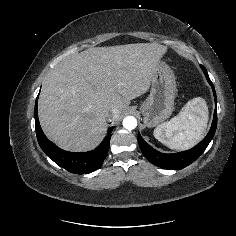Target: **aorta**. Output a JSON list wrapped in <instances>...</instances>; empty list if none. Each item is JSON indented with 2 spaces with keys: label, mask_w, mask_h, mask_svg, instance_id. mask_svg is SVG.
<instances>
[{
  "label": "aorta",
  "mask_w": 236,
  "mask_h": 236,
  "mask_svg": "<svg viewBox=\"0 0 236 236\" xmlns=\"http://www.w3.org/2000/svg\"><path fill=\"white\" fill-rule=\"evenodd\" d=\"M137 126V120L133 116H127L123 119V127L127 130H133Z\"/></svg>",
  "instance_id": "obj_1"
}]
</instances>
